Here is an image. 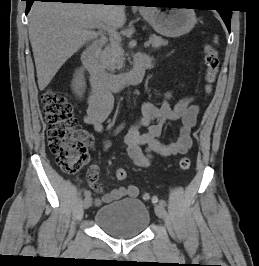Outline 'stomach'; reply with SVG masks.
Returning <instances> with one entry per match:
<instances>
[{
	"label": "stomach",
	"mask_w": 259,
	"mask_h": 266,
	"mask_svg": "<svg viewBox=\"0 0 259 266\" xmlns=\"http://www.w3.org/2000/svg\"><path fill=\"white\" fill-rule=\"evenodd\" d=\"M142 15L157 33L166 37L187 34L197 23L194 10L188 8L153 7L146 9Z\"/></svg>",
	"instance_id": "0dacf381"
}]
</instances>
